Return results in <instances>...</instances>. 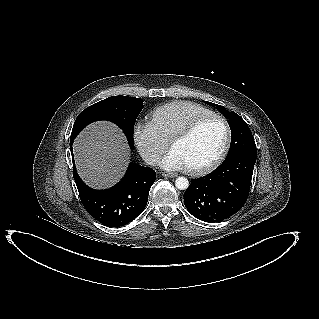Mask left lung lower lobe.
<instances>
[{"instance_id": "0a47b994", "label": "left lung lower lobe", "mask_w": 319, "mask_h": 319, "mask_svg": "<svg viewBox=\"0 0 319 319\" xmlns=\"http://www.w3.org/2000/svg\"><path fill=\"white\" fill-rule=\"evenodd\" d=\"M255 162L256 156H235L210 174L193 179L184 193L187 210L209 223L231 217L247 201Z\"/></svg>"}]
</instances>
